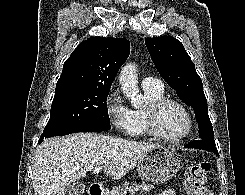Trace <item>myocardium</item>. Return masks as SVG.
<instances>
[{"instance_id":"1","label":"myocardium","mask_w":245,"mask_h":195,"mask_svg":"<svg viewBox=\"0 0 245 195\" xmlns=\"http://www.w3.org/2000/svg\"><path fill=\"white\" fill-rule=\"evenodd\" d=\"M172 104L182 108L183 111L186 113L188 119L187 130L183 134L175 137H170L165 135L164 133L161 132L158 126V119L160 113L163 111L165 107ZM145 122H146L147 133L164 142L182 141L192 133L194 128V117L192 115V112L182 101L174 98H162L160 100H157L149 104V106L145 110Z\"/></svg>"}]
</instances>
